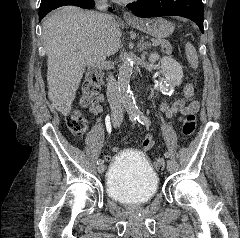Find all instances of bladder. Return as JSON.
Wrapping results in <instances>:
<instances>
[{
  "mask_svg": "<svg viewBox=\"0 0 240 238\" xmlns=\"http://www.w3.org/2000/svg\"><path fill=\"white\" fill-rule=\"evenodd\" d=\"M158 189V174L147 157L134 149L119 152L106 175L107 195L121 204L148 203Z\"/></svg>",
  "mask_w": 240,
  "mask_h": 238,
  "instance_id": "31cf9c89",
  "label": "bladder"
}]
</instances>
